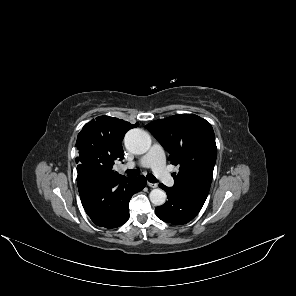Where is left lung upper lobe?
<instances>
[{
  "instance_id": "left-lung-upper-lobe-1",
  "label": "left lung upper lobe",
  "mask_w": 296,
  "mask_h": 296,
  "mask_svg": "<svg viewBox=\"0 0 296 296\" xmlns=\"http://www.w3.org/2000/svg\"><path fill=\"white\" fill-rule=\"evenodd\" d=\"M146 127L170 153L171 163L179 166L173 188L208 193L217 156L211 124L194 114H179Z\"/></svg>"
}]
</instances>
